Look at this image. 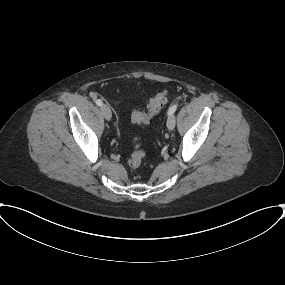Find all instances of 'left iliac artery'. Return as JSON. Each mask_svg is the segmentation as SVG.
<instances>
[{"instance_id": "44dca946", "label": "left iliac artery", "mask_w": 285, "mask_h": 285, "mask_svg": "<svg viewBox=\"0 0 285 285\" xmlns=\"http://www.w3.org/2000/svg\"><path fill=\"white\" fill-rule=\"evenodd\" d=\"M177 110V105H173L168 110V115L173 114Z\"/></svg>"}]
</instances>
